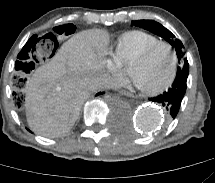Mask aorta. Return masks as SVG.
<instances>
[{"mask_svg": "<svg viewBox=\"0 0 215 183\" xmlns=\"http://www.w3.org/2000/svg\"><path fill=\"white\" fill-rule=\"evenodd\" d=\"M164 114L158 106L144 104L135 112V123L144 131H154L161 126Z\"/></svg>", "mask_w": 215, "mask_h": 183, "instance_id": "762f6f07", "label": "aorta"}]
</instances>
